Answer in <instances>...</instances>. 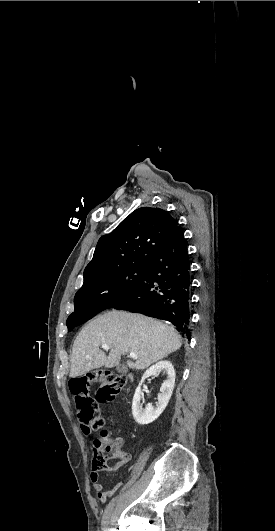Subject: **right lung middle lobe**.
Listing matches in <instances>:
<instances>
[{"instance_id":"right-lung-middle-lobe-1","label":"right lung middle lobe","mask_w":275,"mask_h":531,"mask_svg":"<svg viewBox=\"0 0 275 531\" xmlns=\"http://www.w3.org/2000/svg\"><path fill=\"white\" fill-rule=\"evenodd\" d=\"M146 266H131L103 274L83 284L74 297V312L67 319L68 330L103 310L122 302L143 277Z\"/></svg>"}]
</instances>
